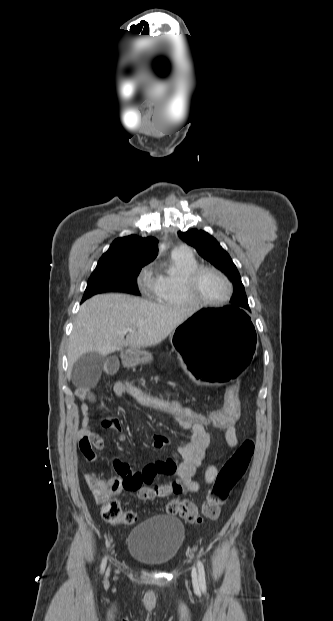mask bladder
<instances>
[{
	"label": "bladder",
	"instance_id": "31cf9c89",
	"mask_svg": "<svg viewBox=\"0 0 333 621\" xmlns=\"http://www.w3.org/2000/svg\"><path fill=\"white\" fill-rule=\"evenodd\" d=\"M184 538L185 528L180 519L171 515H157L131 530L128 551L141 564L164 567L175 559Z\"/></svg>",
	"mask_w": 333,
	"mask_h": 621
}]
</instances>
